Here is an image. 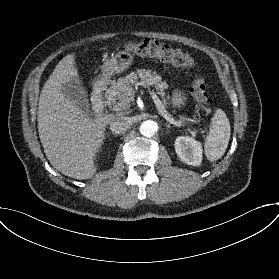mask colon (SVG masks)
<instances>
[{
	"label": "colon",
	"mask_w": 279,
	"mask_h": 279,
	"mask_svg": "<svg viewBox=\"0 0 279 279\" xmlns=\"http://www.w3.org/2000/svg\"><path fill=\"white\" fill-rule=\"evenodd\" d=\"M121 49L133 52L139 56L156 58L160 61L170 63L176 67H191L194 64L193 58L178 49L164 43H158L152 40H144L137 43H127L122 46H112L110 51H119ZM192 94L202 107L210 105V95L206 80L197 77L192 81Z\"/></svg>",
	"instance_id": "colon-1"
}]
</instances>
